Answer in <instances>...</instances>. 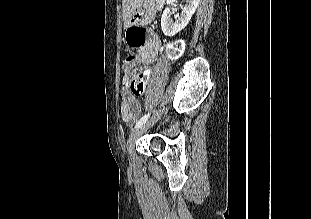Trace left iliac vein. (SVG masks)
<instances>
[{
  "label": "left iliac vein",
  "mask_w": 311,
  "mask_h": 219,
  "mask_svg": "<svg viewBox=\"0 0 311 219\" xmlns=\"http://www.w3.org/2000/svg\"><path fill=\"white\" fill-rule=\"evenodd\" d=\"M160 114L161 112L157 113V115L153 116L150 120L131 132L126 145L129 155H131L137 139L158 120Z\"/></svg>",
  "instance_id": "left-iliac-vein-1"
}]
</instances>
